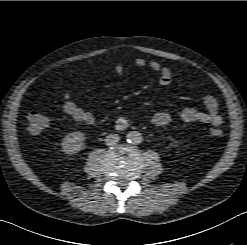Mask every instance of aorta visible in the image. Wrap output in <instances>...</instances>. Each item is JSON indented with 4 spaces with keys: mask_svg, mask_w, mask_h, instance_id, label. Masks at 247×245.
<instances>
[{
    "mask_svg": "<svg viewBox=\"0 0 247 245\" xmlns=\"http://www.w3.org/2000/svg\"><path fill=\"white\" fill-rule=\"evenodd\" d=\"M127 141L131 144L138 145L142 142L143 138L140 132L131 131L127 134Z\"/></svg>",
    "mask_w": 247,
    "mask_h": 245,
    "instance_id": "1",
    "label": "aorta"
}]
</instances>
